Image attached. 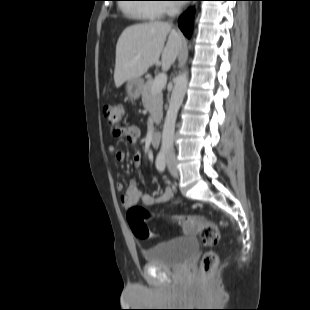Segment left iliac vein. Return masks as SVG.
<instances>
[{
	"label": "left iliac vein",
	"mask_w": 310,
	"mask_h": 310,
	"mask_svg": "<svg viewBox=\"0 0 310 310\" xmlns=\"http://www.w3.org/2000/svg\"><path fill=\"white\" fill-rule=\"evenodd\" d=\"M167 167L173 177H178L179 171L177 168L176 157L172 154H170L167 158Z\"/></svg>",
	"instance_id": "left-iliac-vein-1"
}]
</instances>
